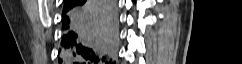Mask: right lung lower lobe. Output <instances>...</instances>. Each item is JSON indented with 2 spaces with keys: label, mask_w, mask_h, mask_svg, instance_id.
Here are the masks:
<instances>
[{
  "label": "right lung lower lobe",
  "mask_w": 242,
  "mask_h": 64,
  "mask_svg": "<svg viewBox=\"0 0 242 64\" xmlns=\"http://www.w3.org/2000/svg\"><path fill=\"white\" fill-rule=\"evenodd\" d=\"M59 64H111L117 40L115 0H65Z\"/></svg>",
  "instance_id": "98d812e1"
}]
</instances>
